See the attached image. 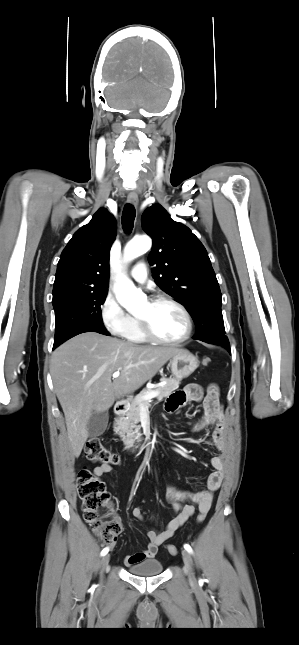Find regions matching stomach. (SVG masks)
Listing matches in <instances>:
<instances>
[{"mask_svg": "<svg viewBox=\"0 0 299 645\" xmlns=\"http://www.w3.org/2000/svg\"><path fill=\"white\" fill-rule=\"evenodd\" d=\"M172 374L177 379L189 377L198 367V359L188 350H181L170 359Z\"/></svg>", "mask_w": 299, "mask_h": 645, "instance_id": "0dacf381", "label": "stomach"}]
</instances>
